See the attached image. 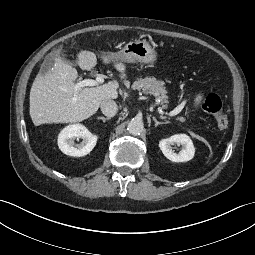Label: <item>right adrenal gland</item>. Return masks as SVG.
Returning a JSON list of instances; mask_svg holds the SVG:
<instances>
[{
    "label": "right adrenal gland",
    "mask_w": 255,
    "mask_h": 255,
    "mask_svg": "<svg viewBox=\"0 0 255 255\" xmlns=\"http://www.w3.org/2000/svg\"><path fill=\"white\" fill-rule=\"evenodd\" d=\"M99 120H102L104 123L107 121V120H110L111 118L107 117H98Z\"/></svg>",
    "instance_id": "2a0ac1e0"
}]
</instances>
